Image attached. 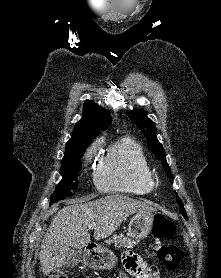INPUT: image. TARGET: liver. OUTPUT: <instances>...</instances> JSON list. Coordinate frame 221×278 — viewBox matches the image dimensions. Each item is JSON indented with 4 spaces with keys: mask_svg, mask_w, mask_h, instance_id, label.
<instances>
[{
    "mask_svg": "<svg viewBox=\"0 0 221 278\" xmlns=\"http://www.w3.org/2000/svg\"><path fill=\"white\" fill-rule=\"evenodd\" d=\"M73 200L53 218L41 244L40 265L45 275L55 271L68 258L71 249H81L91 242L88 226L96 224L94 238L112 235L123 220L137 213H151L148 204L124 195H110L87 203Z\"/></svg>",
    "mask_w": 221,
    "mask_h": 278,
    "instance_id": "liver-1",
    "label": "liver"
}]
</instances>
